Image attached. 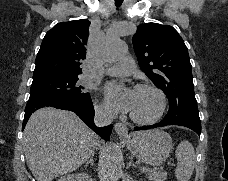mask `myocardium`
I'll return each instance as SVG.
<instances>
[{"label": "myocardium", "instance_id": "f54148a6", "mask_svg": "<svg viewBox=\"0 0 228 181\" xmlns=\"http://www.w3.org/2000/svg\"><path fill=\"white\" fill-rule=\"evenodd\" d=\"M133 88L134 89L147 88V89L152 90L153 92L156 93L159 103H158L157 109L151 116H149L147 118H141V117H138V116L134 115L133 113H131L130 118L136 123L145 124V125L151 124V123L155 122L156 120H158L161 117V115L163 114L165 107H166V96L163 93V91L161 89H159L157 86L147 83V82L135 83L133 85Z\"/></svg>", "mask_w": 228, "mask_h": 181}]
</instances>
